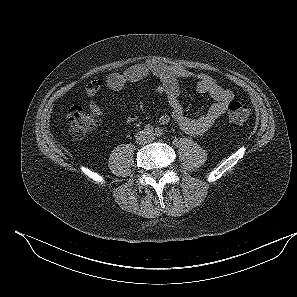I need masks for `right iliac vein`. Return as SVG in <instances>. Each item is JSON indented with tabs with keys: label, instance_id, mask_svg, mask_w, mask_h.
Here are the masks:
<instances>
[{
	"label": "right iliac vein",
	"instance_id": "obj_1",
	"mask_svg": "<svg viewBox=\"0 0 297 297\" xmlns=\"http://www.w3.org/2000/svg\"><path fill=\"white\" fill-rule=\"evenodd\" d=\"M146 140V136L144 135V132H140V134H138L136 141L139 144H143V142H145Z\"/></svg>",
	"mask_w": 297,
	"mask_h": 297
}]
</instances>
